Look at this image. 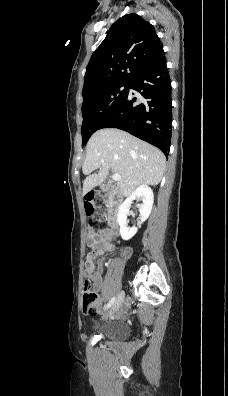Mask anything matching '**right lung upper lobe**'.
Wrapping results in <instances>:
<instances>
[{"instance_id":"right-lung-upper-lobe-1","label":"right lung upper lobe","mask_w":228,"mask_h":396,"mask_svg":"<svg viewBox=\"0 0 228 396\" xmlns=\"http://www.w3.org/2000/svg\"><path fill=\"white\" fill-rule=\"evenodd\" d=\"M162 46L153 26L126 14L107 32L86 68L82 94L107 85L132 82Z\"/></svg>"}]
</instances>
